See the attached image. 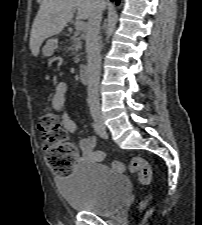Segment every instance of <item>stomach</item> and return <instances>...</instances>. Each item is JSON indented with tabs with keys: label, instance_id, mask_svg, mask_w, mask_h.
Returning a JSON list of instances; mask_svg holds the SVG:
<instances>
[{
	"label": "stomach",
	"instance_id": "stomach-1",
	"mask_svg": "<svg viewBox=\"0 0 202 225\" xmlns=\"http://www.w3.org/2000/svg\"><path fill=\"white\" fill-rule=\"evenodd\" d=\"M57 46V42L53 39L48 40L42 49L43 55L48 57L51 56Z\"/></svg>",
	"mask_w": 202,
	"mask_h": 225
}]
</instances>
